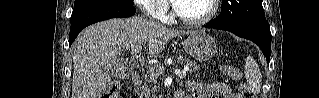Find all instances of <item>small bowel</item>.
Segmentation results:
<instances>
[{
	"instance_id": "1",
	"label": "small bowel",
	"mask_w": 319,
	"mask_h": 98,
	"mask_svg": "<svg viewBox=\"0 0 319 98\" xmlns=\"http://www.w3.org/2000/svg\"><path fill=\"white\" fill-rule=\"evenodd\" d=\"M187 89L193 98H240L232 92L229 85L222 82L206 85L190 80L187 82Z\"/></svg>"
}]
</instances>
